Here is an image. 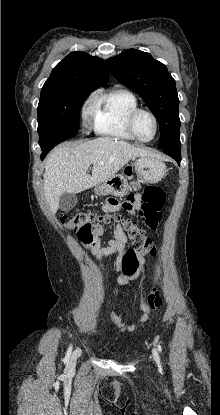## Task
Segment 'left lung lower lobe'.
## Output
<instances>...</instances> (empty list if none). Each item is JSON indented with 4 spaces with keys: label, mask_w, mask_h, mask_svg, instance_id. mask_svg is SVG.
Here are the masks:
<instances>
[{
    "label": "left lung lower lobe",
    "mask_w": 220,
    "mask_h": 415,
    "mask_svg": "<svg viewBox=\"0 0 220 415\" xmlns=\"http://www.w3.org/2000/svg\"><path fill=\"white\" fill-rule=\"evenodd\" d=\"M163 152L165 154L171 156L180 165V162H181V152H180V150L163 149Z\"/></svg>",
    "instance_id": "left-lung-lower-lobe-1"
}]
</instances>
